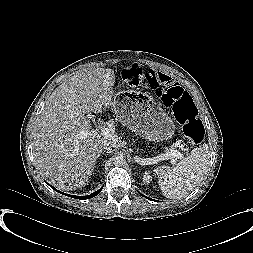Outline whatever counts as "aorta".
I'll return each instance as SVG.
<instances>
[{
  "label": "aorta",
  "instance_id": "762f6f07",
  "mask_svg": "<svg viewBox=\"0 0 253 253\" xmlns=\"http://www.w3.org/2000/svg\"><path fill=\"white\" fill-rule=\"evenodd\" d=\"M125 163V159L122 155H117L114 159H113V164L117 167L122 166Z\"/></svg>",
  "mask_w": 253,
  "mask_h": 253
}]
</instances>
